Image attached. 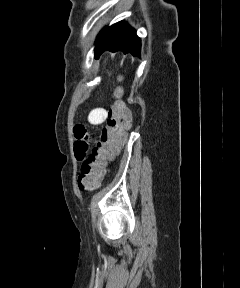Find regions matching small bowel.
Masks as SVG:
<instances>
[{"instance_id": "small-bowel-1", "label": "small bowel", "mask_w": 240, "mask_h": 288, "mask_svg": "<svg viewBox=\"0 0 240 288\" xmlns=\"http://www.w3.org/2000/svg\"><path fill=\"white\" fill-rule=\"evenodd\" d=\"M108 117V111L103 107L92 109L87 116V121L92 126L103 124ZM75 137L74 153L78 161H83L89 146L95 142L87 128L82 124H77L73 128Z\"/></svg>"}]
</instances>
